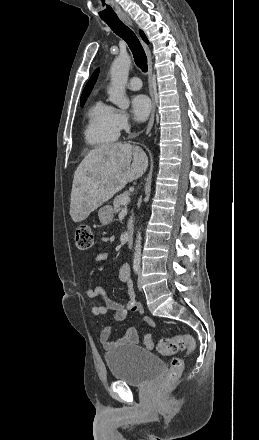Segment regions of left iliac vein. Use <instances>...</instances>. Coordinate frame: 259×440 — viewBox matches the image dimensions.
Here are the masks:
<instances>
[{
    "mask_svg": "<svg viewBox=\"0 0 259 440\" xmlns=\"http://www.w3.org/2000/svg\"><path fill=\"white\" fill-rule=\"evenodd\" d=\"M138 288H139V290H142V275H141V269H139V273H138Z\"/></svg>",
    "mask_w": 259,
    "mask_h": 440,
    "instance_id": "1",
    "label": "left iliac vein"
}]
</instances>
